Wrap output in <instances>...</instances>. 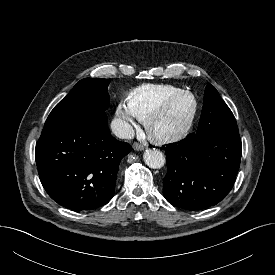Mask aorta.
Wrapping results in <instances>:
<instances>
[{
  "instance_id": "762f6f07",
  "label": "aorta",
  "mask_w": 275,
  "mask_h": 275,
  "mask_svg": "<svg viewBox=\"0 0 275 275\" xmlns=\"http://www.w3.org/2000/svg\"><path fill=\"white\" fill-rule=\"evenodd\" d=\"M145 164L153 169H159L165 164L163 153L157 149H147L143 154Z\"/></svg>"
}]
</instances>
